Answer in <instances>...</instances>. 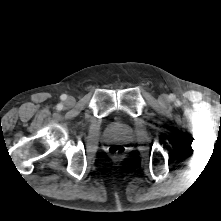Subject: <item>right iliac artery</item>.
Segmentation results:
<instances>
[{"mask_svg":"<svg viewBox=\"0 0 221 221\" xmlns=\"http://www.w3.org/2000/svg\"><path fill=\"white\" fill-rule=\"evenodd\" d=\"M62 107H63L62 104H59V105L57 106L58 110L62 109Z\"/></svg>","mask_w":221,"mask_h":221,"instance_id":"82829eb1","label":"right iliac artery"}]
</instances>
